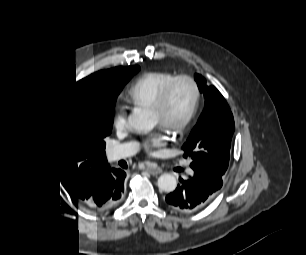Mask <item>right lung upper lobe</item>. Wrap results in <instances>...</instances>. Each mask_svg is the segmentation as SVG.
Returning a JSON list of instances; mask_svg holds the SVG:
<instances>
[{"label":"right lung upper lobe","instance_id":"cb5924a9","mask_svg":"<svg viewBox=\"0 0 306 255\" xmlns=\"http://www.w3.org/2000/svg\"><path fill=\"white\" fill-rule=\"evenodd\" d=\"M132 67H116L110 70L93 73L75 82L64 92L59 101V107L56 111L54 120L53 154L55 161L61 153L58 135L62 126L63 115L67 108L72 104H96L106 95L119 94L124 85L123 72ZM106 163L107 161L104 164ZM59 173L69 187L72 181L68 180L61 172Z\"/></svg>","mask_w":306,"mask_h":255}]
</instances>
